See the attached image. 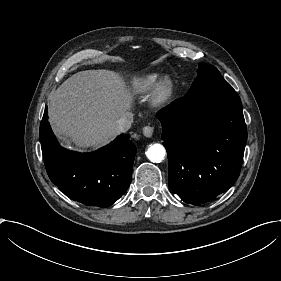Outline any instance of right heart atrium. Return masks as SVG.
<instances>
[{"label":"right heart atrium","instance_id":"right-heart-atrium-1","mask_svg":"<svg viewBox=\"0 0 281 281\" xmlns=\"http://www.w3.org/2000/svg\"><path fill=\"white\" fill-rule=\"evenodd\" d=\"M124 107L122 103L116 98L112 97V110L110 113V119L115 120L122 116Z\"/></svg>","mask_w":281,"mask_h":281}]
</instances>
